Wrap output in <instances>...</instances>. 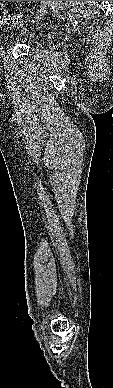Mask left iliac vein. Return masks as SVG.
I'll list each match as a JSON object with an SVG mask.
<instances>
[{
  "label": "left iliac vein",
  "mask_w": 113,
  "mask_h": 388,
  "mask_svg": "<svg viewBox=\"0 0 113 388\" xmlns=\"http://www.w3.org/2000/svg\"><path fill=\"white\" fill-rule=\"evenodd\" d=\"M41 3H42V5H41V8H40V10L38 12V16H37L38 19L42 18L46 14L47 9L50 5V1H41Z\"/></svg>",
  "instance_id": "left-iliac-vein-1"
}]
</instances>
